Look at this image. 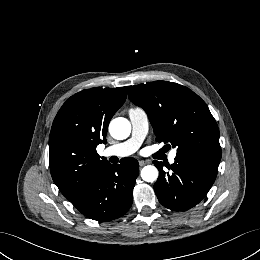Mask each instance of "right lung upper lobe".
<instances>
[{
  "label": "right lung upper lobe",
  "mask_w": 260,
  "mask_h": 260,
  "mask_svg": "<svg viewBox=\"0 0 260 260\" xmlns=\"http://www.w3.org/2000/svg\"><path fill=\"white\" fill-rule=\"evenodd\" d=\"M127 87L91 88L71 96L57 113L50 133V170L62 194L75 202L102 167L96 151L106 142L108 124L126 100Z\"/></svg>",
  "instance_id": "right-lung-upper-lobe-1"
}]
</instances>
